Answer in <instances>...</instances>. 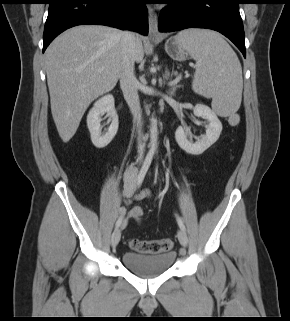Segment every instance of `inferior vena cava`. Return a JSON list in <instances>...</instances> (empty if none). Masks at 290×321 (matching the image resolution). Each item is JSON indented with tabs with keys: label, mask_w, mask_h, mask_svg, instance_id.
<instances>
[{
	"label": "inferior vena cava",
	"mask_w": 290,
	"mask_h": 321,
	"mask_svg": "<svg viewBox=\"0 0 290 321\" xmlns=\"http://www.w3.org/2000/svg\"><path fill=\"white\" fill-rule=\"evenodd\" d=\"M121 46L123 61L122 71L120 73V87L133 115V120L137 124L138 153L139 156L142 157L145 149L142 142V111L138 95V80L134 73V53L136 47L135 35L131 32H123L121 35Z\"/></svg>",
	"instance_id": "602c4592"
}]
</instances>
